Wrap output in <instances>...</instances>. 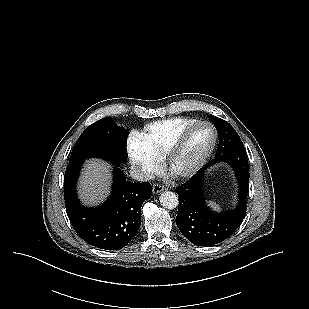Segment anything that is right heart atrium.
<instances>
[{
    "label": "right heart atrium",
    "mask_w": 309,
    "mask_h": 309,
    "mask_svg": "<svg viewBox=\"0 0 309 309\" xmlns=\"http://www.w3.org/2000/svg\"><path fill=\"white\" fill-rule=\"evenodd\" d=\"M128 155L132 166L143 179L148 180L158 172L160 160L138 141V137L129 139Z\"/></svg>",
    "instance_id": "obj_1"
}]
</instances>
